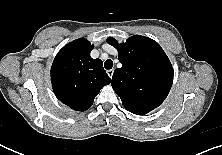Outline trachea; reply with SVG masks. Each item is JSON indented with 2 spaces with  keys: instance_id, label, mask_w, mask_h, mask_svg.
I'll return each mask as SVG.
<instances>
[{
  "instance_id": "3493384b",
  "label": "trachea",
  "mask_w": 222,
  "mask_h": 155,
  "mask_svg": "<svg viewBox=\"0 0 222 155\" xmlns=\"http://www.w3.org/2000/svg\"><path fill=\"white\" fill-rule=\"evenodd\" d=\"M104 67H105V69H108V70L112 69L113 61L111 59L106 60L105 63H104Z\"/></svg>"
}]
</instances>
